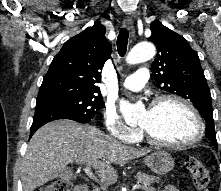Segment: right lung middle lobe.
I'll return each instance as SVG.
<instances>
[{
	"label": "right lung middle lobe",
	"mask_w": 221,
	"mask_h": 191,
	"mask_svg": "<svg viewBox=\"0 0 221 191\" xmlns=\"http://www.w3.org/2000/svg\"><path fill=\"white\" fill-rule=\"evenodd\" d=\"M40 102L50 103L63 110L70 117L83 123L90 122L97 111L103 106L102 96L91 95L64 96Z\"/></svg>",
	"instance_id": "right-lung-middle-lobe-1"
}]
</instances>
